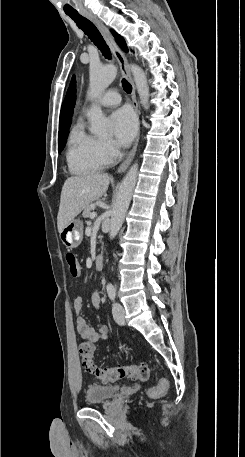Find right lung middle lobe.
<instances>
[{
  "instance_id": "1",
  "label": "right lung middle lobe",
  "mask_w": 245,
  "mask_h": 457,
  "mask_svg": "<svg viewBox=\"0 0 245 457\" xmlns=\"http://www.w3.org/2000/svg\"><path fill=\"white\" fill-rule=\"evenodd\" d=\"M70 126L59 128L58 151L61 152L65 146Z\"/></svg>"
}]
</instances>
